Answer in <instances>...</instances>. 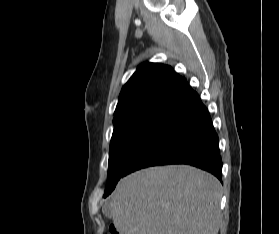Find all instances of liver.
Segmentation results:
<instances>
[{
    "mask_svg": "<svg viewBox=\"0 0 279 234\" xmlns=\"http://www.w3.org/2000/svg\"><path fill=\"white\" fill-rule=\"evenodd\" d=\"M220 200L213 175L171 165L124 177L105 207L119 234H218Z\"/></svg>",
    "mask_w": 279,
    "mask_h": 234,
    "instance_id": "obj_1",
    "label": "liver"
}]
</instances>
